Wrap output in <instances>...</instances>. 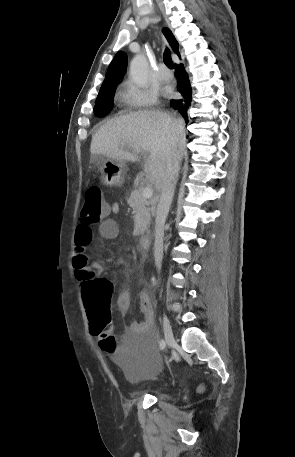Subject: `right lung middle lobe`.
Instances as JSON below:
<instances>
[{
    "label": "right lung middle lobe",
    "instance_id": "dd1d6c3e",
    "mask_svg": "<svg viewBox=\"0 0 295 457\" xmlns=\"http://www.w3.org/2000/svg\"><path fill=\"white\" fill-rule=\"evenodd\" d=\"M115 88L100 90L94 106V113L97 117L106 116L113 107Z\"/></svg>",
    "mask_w": 295,
    "mask_h": 457
}]
</instances>
